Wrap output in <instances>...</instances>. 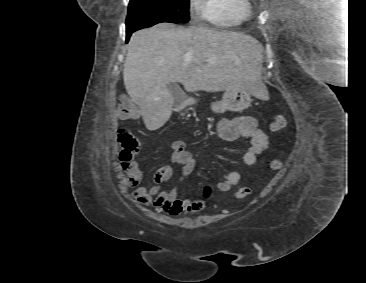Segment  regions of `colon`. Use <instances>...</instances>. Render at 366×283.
Instances as JSON below:
<instances>
[{
  "mask_svg": "<svg viewBox=\"0 0 366 283\" xmlns=\"http://www.w3.org/2000/svg\"><path fill=\"white\" fill-rule=\"evenodd\" d=\"M117 115L121 119H133L137 116V108L127 98H121L118 107ZM287 120L283 114H277L273 117L270 123V130L272 132H279L285 128ZM118 141L120 142L122 149L120 151V160L123 163H130L138 150V142L131 132L125 128H121L117 133ZM270 168L273 170H280L283 168V162L279 159H273L270 162ZM251 193V188L248 185L239 188L235 194L236 198L244 199ZM210 195V189H205V197Z\"/></svg>",
  "mask_w": 366,
  "mask_h": 283,
  "instance_id": "colon-1",
  "label": "colon"
}]
</instances>
